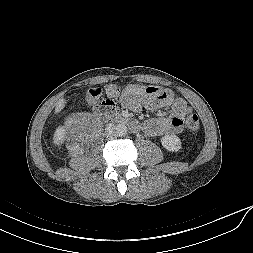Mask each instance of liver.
<instances>
[{
	"mask_svg": "<svg viewBox=\"0 0 253 253\" xmlns=\"http://www.w3.org/2000/svg\"><path fill=\"white\" fill-rule=\"evenodd\" d=\"M65 106V99H60L55 107V114H58Z\"/></svg>",
	"mask_w": 253,
	"mask_h": 253,
	"instance_id": "6515ba94",
	"label": "liver"
}]
</instances>
